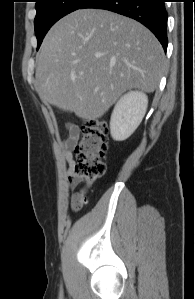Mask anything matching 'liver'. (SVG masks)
Listing matches in <instances>:
<instances>
[{
  "instance_id": "6515ba94",
  "label": "liver",
  "mask_w": 195,
  "mask_h": 299,
  "mask_svg": "<svg viewBox=\"0 0 195 299\" xmlns=\"http://www.w3.org/2000/svg\"><path fill=\"white\" fill-rule=\"evenodd\" d=\"M163 48L142 24L101 9H79L47 33L35 86L49 104L83 120L101 118L127 90L153 92Z\"/></svg>"
}]
</instances>
